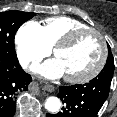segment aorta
<instances>
[{"label": "aorta", "mask_w": 117, "mask_h": 117, "mask_svg": "<svg viewBox=\"0 0 117 117\" xmlns=\"http://www.w3.org/2000/svg\"><path fill=\"white\" fill-rule=\"evenodd\" d=\"M61 107V101L57 97H49L45 102V108L52 113H56L59 111Z\"/></svg>", "instance_id": "obj_1"}]
</instances>
